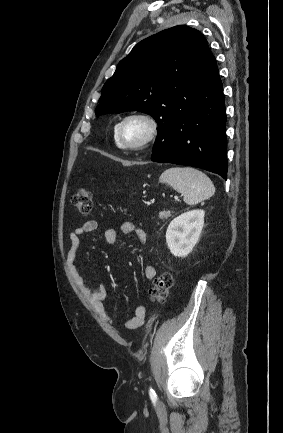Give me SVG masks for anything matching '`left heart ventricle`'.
I'll use <instances>...</instances> for the list:
<instances>
[{"instance_id": "left-heart-ventricle-1", "label": "left heart ventricle", "mask_w": 283, "mask_h": 433, "mask_svg": "<svg viewBox=\"0 0 283 433\" xmlns=\"http://www.w3.org/2000/svg\"><path fill=\"white\" fill-rule=\"evenodd\" d=\"M148 132V125L140 119L127 121L121 130V139L125 143H133L143 139Z\"/></svg>"}]
</instances>
